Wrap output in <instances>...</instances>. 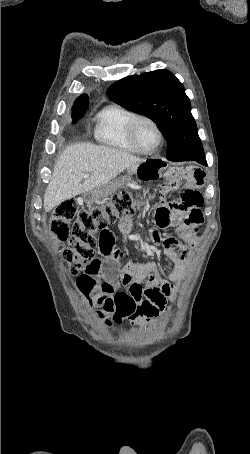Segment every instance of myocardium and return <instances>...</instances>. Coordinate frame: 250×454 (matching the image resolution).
Masks as SVG:
<instances>
[{
	"instance_id": "f54148a6",
	"label": "myocardium",
	"mask_w": 250,
	"mask_h": 454,
	"mask_svg": "<svg viewBox=\"0 0 250 454\" xmlns=\"http://www.w3.org/2000/svg\"><path fill=\"white\" fill-rule=\"evenodd\" d=\"M141 122L150 123L155 128V130L157 132L158 142H157L156 146L153 149H151V150L144 149L140 145V143L138 142L136 132H137V127H138L139 123H141ZM128 134H129V139H130V142L132 143V145L140 153H143V154H153V153L157 152L160 149V147L162 146L163 141H164V135H163L162 129L159 126V124L153 118H151L149 116H146V115H136L132 119V121L129 124Z\"/></svg>"
}]
</instances>
